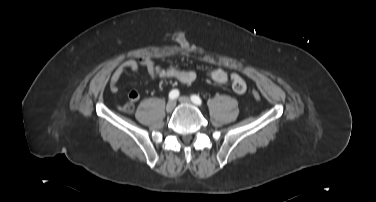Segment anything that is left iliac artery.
Here are the masks:
<instances>
[{
    "mask_svg": "<svg viewBox=\"0 0 376 202\" xmlns=\"http://www.w3.org/2000/svg\"><path fill=\"white\" fill-rule=\"evenodd\" d=\"M191 100L193 103L197 104V105H201L202 104V100L199 96L197 95H192L191 96Z\"/></svg>",
    "mask_w": 376,
    "mask_h": 202,
    "instance_id": "1",
    "label": "left iliac artery"
}]
</instances>
